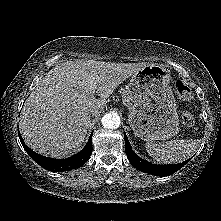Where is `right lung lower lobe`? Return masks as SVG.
<instances>
[{"label": "right lung lower lobe", "instance_id": "98d812e1", "mask_svg": "<svg viewBox=\"0 0 221 221\" xmlns=\"http://www.w3.org/2000/svg\"><path fill=\"white\" fill-rule=\"evenodd\" d=\"M93 134V133H92ZM92 134L89 137L86 146L77 154L67 159H53L42 156L32 151L23 141L20 132H18L19 139L28 155L41 167L49 171H70L81 167L92 154Z\"/></svg>", "mask_w": 221, "mask_h": 221}]
</instances>
